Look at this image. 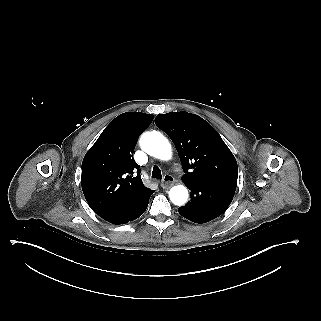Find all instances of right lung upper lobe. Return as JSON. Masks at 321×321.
Here are the masks:
<instances>
[{"label":"right lung upper lobe","instance_id":"1","mask_svg":"<svg viewBox=\"0 0 321 321\" xmlns=\"http://www.w3.org/2000/svg\"><path fill=\"white\" fill-rule=\"evenodd\" d=\"M153 117L139 112L117 116L86 153L81 185L97 214L123 206L149 190L142 183L133 152L139 135Z\"/></svg>","mask_w":321,"mask_h":321}]
</instances>
